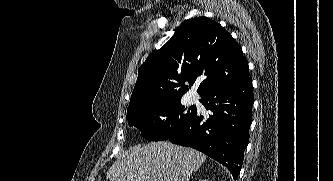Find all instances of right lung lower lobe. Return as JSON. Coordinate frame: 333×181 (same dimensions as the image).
I'll use <instances>...</instances> for the list:
<instances>
[{
	"mask_svg": "<svg viewBox=\"0 0 333 181\" xmlns=\"http://www.w3.org/2000/svg\"><path fill=\"white\" fill-rule=\"evenodd\" d=\"M202 98L200 102L210 111L208 117L196 110L167 140L205 153L226 166L236 180L252 123V79L215 89Z\"/></svg>",
	"mask_w": 333,
	"mask_h": 181,
	"instance_id": "1",
	"label": "right lung lower lobe"
}]
</instances>
